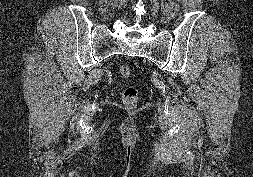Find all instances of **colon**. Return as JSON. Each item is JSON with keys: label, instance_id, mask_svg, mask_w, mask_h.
Instances as JSON below:
<instances>
[{"label": "colon", "instance_id": "5ec220e1", "mask_svg": "<svg viewBox=\"0 0 253 177\" xmlns=\"http://www.w3.org/2000/svg\"><path fill=\"white\" fill-rule=\"evenodd\" d=\"M119 72L124 78H130L132 74L131 68L126 64L119 66ZM138 98L139 90L135 86H128L122 92V100L124 104L130 107H134L136 105Z\"/></svg>", "mask_w": 253, "mask_h": 177}]
</instances>
